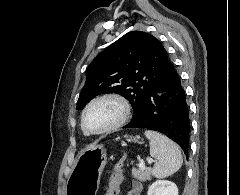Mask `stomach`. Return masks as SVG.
Instances as JSON below:
<instances>
[{"label":"stomach","mask_w":240,"mask_h":195,"mask_svg":"<svg viewBox=\"0 0 240 195\" xmlns=\"http://www.w3.org/2000/svg\"><path fill=\"white\" fill-rule=\"evenodd\" d=\"M140 135H129L128 141L143 143ZM107 163L104 143H91L81 149L67 179V195H96L101 173Z\"/></svg>","instance_id":"1"}]
</instances>
